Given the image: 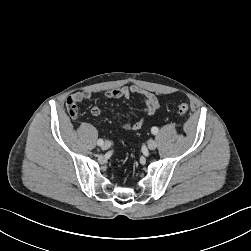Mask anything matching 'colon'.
Wrapping results in <instances>:
<instances>
[{"label": "colon", "mask_w": 251, "mask_h": 251, "mask_svg": "<svg viewBox=\"0 0 251 251\" xmlns=\"http://www.w3.org/2000/svg\"><path fill=\"white\" fill-rule=\"evenodd\" d=\"M178 112L181 114V115H186L187 112H188V105L186 103H181L179 104L178 106ZM74 111H70L69 114L73 117L74 116Z\"/></svg>", "instance_id": "5ec220e1"}]
</instances>
